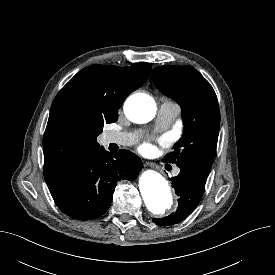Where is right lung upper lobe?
Here are the masks:
<instances>
[{"mask_svg": "<svg viewBox=\"0 0 275 275\" xmlns=\"http://www.w3.org/2000/svg\"><path fill=\"white\" fill-rule=\"evenodd\" d=\"M152 66L91 65L77 73L57 94L43 138L44 178L55 181L75 161L102 148L103 123L118 117L126 97L140 87Z\"/></svg>", "mask_w": 275, "mask_h": 275, "instance_id": "obj_1", "label": "right lung upper lobe"}]
</instances>
